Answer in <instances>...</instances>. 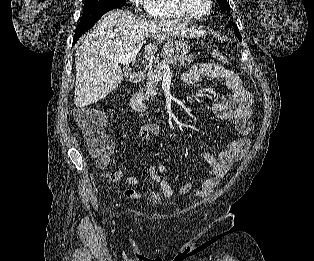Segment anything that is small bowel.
Here are the masks:
<instances>
[{"instance_id": "1", "label": "small bowel", "mask_w": 314, "mask_h": 261, "mask_svg": "<svg viewBox=\"0 0 314 261\" xmlns=\"http://www.w3.org/2000/svg\"><path fill=\"white\" fill-rule=\"evenodd\" d=\"M213 78L224 81L225 85L231 90V95L213 105V113L220 120H234L235 128L241 138L232 139L226 147L221 150L216 157L204 155L203 158L210 164V169L206 178L202 183V187L195 190V194L200 197L210 195L220 180L229 171L233 161L242 159L250 146L248 135L251 132V116L253 95L244 86L239 75L217 63H197L188 68L182 75V79L187 84H194L202 78ZM106 120L104 117L105 125ZM102 126V127H103ZM161 129L156 124H145L139 129V136L143 144L150 142L153 135L160 134ZM114 151V145L110 144V150L98 157V167L105 168L110 162L111 154ZM168 168L163 163L148 168V174L152 181L158 183L161 187L162 194L165 197H170L173 194L172 187L163 178ZM111 182H117L121 178L120 172H110L107 175ZM127 183L131 186H137L139 180L135 176H128ZM192 190V184L185 182L180 187L181 194H187ZM123 193L130 199H137L139 193L132 188H124Z\"/></svg>"}]
</instances>
